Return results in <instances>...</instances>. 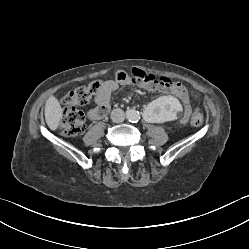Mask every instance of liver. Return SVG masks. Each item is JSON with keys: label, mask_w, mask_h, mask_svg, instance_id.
Listing matches in <instances>:
<instances>
[{"label": "liver", "mask_w": 249, "mask_h": 249, "mask_svg": "<svg viewBox=\"0 0 249 249\" xmlns=\"http://www.w3.org/2000/svg\"><path fill=\"white\" fill-rule=\"evenodd\" d=\"M63 117V109L54 96H50L45 104V120L51 130H56Z\"/></svg>", "instance_id": "1"}]
</instances>
